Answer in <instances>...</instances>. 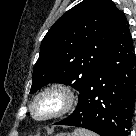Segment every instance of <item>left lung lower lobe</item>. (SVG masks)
I'll return each mask as SVG.
<instances>
[{"mask_svg": "<svg viewBox=\"0 0 136 136\" xmlns=\"http://www.w3.org/2000/svg\"><path fill=\"white\" fill-rule=\"evenodd\" d=\"M132 47L125 19L100 65L82 87L76 110L55 124L83 127L100 136H128L136 84Z\"/></svg>", "mask_w": 136, "mask_h": 136, "instance_id": "1", "label": "left lung lower lobe"}]
</instances>
